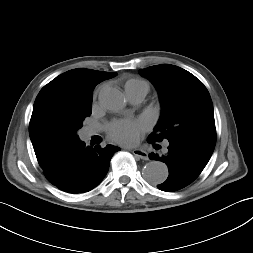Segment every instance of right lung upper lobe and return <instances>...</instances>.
Wrapping results in <instances>:
<instances>
[{
  "label": "right lung upper lobe",
  "mask_w": 253,
  "mask_h": 253,
  "mask_svg": "<svg viewBox=\"0 0 253 253\" xmlns=\"http://www.w3.org/2000/svg\"><path fill=\"white\" fill-rule=\"evenodd\" d=\"M116 75L117 73L78 68L59 75L41 89L33 106L29 135L44 172H50L59 157L73 145L53 137L45 130L42 124L45 109L56 101L92 98L97 84Z\"/></svg>",
  "instance_id": "obj_1"
}]
</instances>
